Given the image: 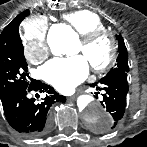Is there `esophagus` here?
<instances>
[{
	"label": "esophagus",
	"instance_id": "esophagus-1",
	"mask_svg": "<svg viewBox=\"0 0 147 147\" xmlns=\"http://www.w3.org/2000/svg\"><path fill=\"white\" fill-rule=\"evenodd\" d=\"M74 99V97H68V100H73Z\"/></svg>",
	"mask_w": 147,
	"mask_h": 147
}]
</instances>
